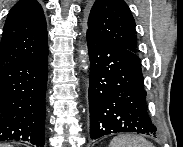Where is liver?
<instances>
[{
  "label": "liver",
  "mask_w": 183,
  "mask_h": 147,
  "mask_svg": "<svg viewBox=\"0 0 183 147\" xmlns=\"http://www.w3.org/2000/svg\"><path fill=\"white\" fill-rule=\"evenodd\" d=\"M0 147H11V145H9V144H2V145H0Z\"/></svg>",
  "instance_id": "1"
}]
</instances>
